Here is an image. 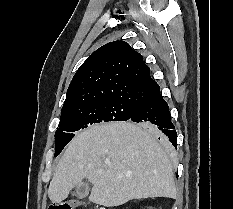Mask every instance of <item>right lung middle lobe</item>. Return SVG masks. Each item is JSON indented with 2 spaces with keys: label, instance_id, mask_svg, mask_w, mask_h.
Returning <instances> with one entry per match:
<instances>
[{
  "label": "right lung middle lobe",
  "instance_id": "obj_1",
  "mask_svg": "<svg viewBox=\"0 0 233 209\" xmlns=\"http://www.w3.org/2000/svg\"><path fill=\"white\" fill-rule=\"evenodd\" d=\"M140 105L117 99H106L87 103L61 114L59 128L55 133V157L75 136L73 132L91 124L108 121H126ZM150 128L148 124H141Z\"/></svg>",
  "mask_w": 233,
  "mask_h": 209
}]
</instances>
